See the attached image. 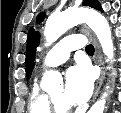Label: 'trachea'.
Returning <instances> with one entry per match:
<instances>
[{
  "label": "trachea",
  "mask_w": 121,
  "mask_h": 113,
  "mask_svg": "<svg viewBox=\"0 0 121 113\" xmlns=\"http://www.w3.org/2000/svg\"><path fill=\"white\" fill-rule=\"evenodd\" d=\"M86 52L87 53H94V47L92 45H87Z\"/></svg>",
  "instance_id": "obj_1"
}]
</instances>
